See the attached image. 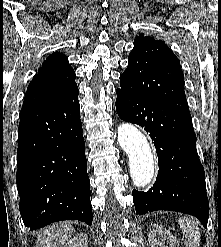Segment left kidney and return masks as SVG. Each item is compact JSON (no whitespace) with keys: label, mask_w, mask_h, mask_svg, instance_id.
Wrapping results in <instances>:
<instances>
[{"label":"left kidney","mask_w":221,"mask_h":247,"mask_svg":"<svg viewBox=\"0 0 221 247\" xmlns=\"http://www.w3.org/2000/svg\"><path fill=\"white\" fill-rule=\"evenodd\" d=\"M160 239L167 240V246L162 244ZM148 240L151 247H180L175 236H173L167 229L156 224L151 225Z\"/></svg>","instance_id":"left-kidney-1"}]
</instances>
